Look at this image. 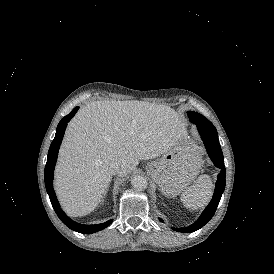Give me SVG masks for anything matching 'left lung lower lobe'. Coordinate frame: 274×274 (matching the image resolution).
Here are the masks:
<instances>
[{"label": "left lung lower lobe", "mask_w": 274, "mask_h": 274, "mask_svg": "<svg viewBox=\"0 0 274 274\" xmlns=\"http://www.w3.org/2000/svg\"><path fill=\"white\" fill-rule=\"evenodd\" d=\"M189 120L194 123L199 132L200 135L204 141V144L206 146L207 152L212 159L215 166L221 169L217 182H216V188L213 195V198L209 205L206 207L200 218L191 226L181 228V229H173L178 232L182 233H190L194 232L201 227H203L214 215L217 206L219 204V201L221 199L222 193L225 189V176H226V170L224 166L223 161V153L220 148L219 140H218V133L214 125L206 119L204 116H202L199 113H192L188 112ZM159 220L162 222V220L159 218Z\"/></svg>", "instance_id": "1"}]
</instances>
